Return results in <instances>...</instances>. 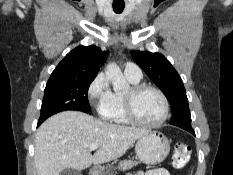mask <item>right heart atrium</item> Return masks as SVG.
<instances>
[{
  "mask_svg": "<svg viewBox=\"0 0 233 175\" xmlns=\"http://www.w3.org/2000/svg\"><path fill=\"white\" fill-rule=\"evenodd\" d=\"M111 90L104 74H98L89 84L87 95L89 100L99 107L110 97Z\"/></svg>",
  "mask_w": 233,
  "mask_h": 175,
  "instance_id": "obj_1",
  "label": "right heart atrium"
}]
</instances>
